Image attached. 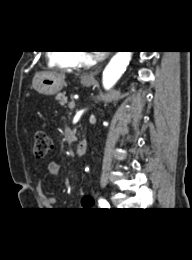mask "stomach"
Returning <instances> with one entry per match:
<instances>
[{"mask_svg": "<svg viewBox=\"0 0 192 260\" xmlns=\"http://www.w3.org/2000/svg\"><path fill=\"white\" fill-rule=\"evenodd\" d=\"M94 81L82 80V84L90 87ZM66 86L64 76L57 73L42 72L35 75L33 88L40 94L52 96L59 93Z\"/></svg>", "mask_w": 192, "mask_h": 260, "instance_id": "obj_1", "label": "stomach"}]
</instances>
